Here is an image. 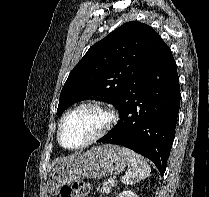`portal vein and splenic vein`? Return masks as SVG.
<instances>
[{"mask_svg": "<svg viewBox=\"0 0 209 197\" xmlns=\"http://www.w3.org/2000/svg\"><path fill=\"white\" fill-rule=\"evenodd\" d=\"M108 182H109L110 184H113V183H114V179L110 178V179H108Z\"/></svg>", "mask_w": 209, "mask_h": 197, "instance_id": "18ae733b", "label": "portal vein and splenic vein"}]
</instances>
